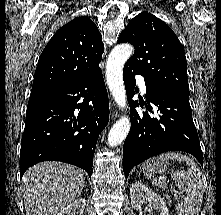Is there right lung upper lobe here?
I'll list each match as a JSON object with an SVG mask.
<instances>
[{
    "instance_id": "cb5924a9",
    "label": "right lung upper lobe",
    "mask_w": 221,
    "mask_h": 215,
    "mask_svg": "<svg viewBox=\"0 0 221 215\" xmlns=\"http://www.w3.org/2000/svg\"><path fill=\"white\" fill-rule=\"evenodd\" d=\"M104 51L92 20L77 17L61 27L44 48L35 71L31 96L60 89L99 67Z\"/></svg>"
}]
</instances>
